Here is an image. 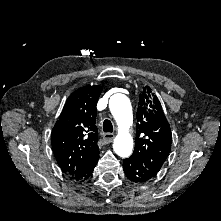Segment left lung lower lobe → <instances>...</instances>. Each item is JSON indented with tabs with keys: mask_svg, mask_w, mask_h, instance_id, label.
I'll return each instance as SVG.
<instances>
[{
	"mask_svg": "<svg viewBox=\"0 0 221 221\" xmlns=\"http://www.w3.org/2000/svg\"><path fill=\"white\" fill-rule=\"evenodd\" d=\"M123 169L127 178L135 183H145L156 176L155 172L146 168L131 157L123 161Z\"/></svg>",
	"mask_w": 221,
	"mask_h": 221,
	"instance_id": "1",
	"label": "left lung lower lobe"
}]
</instances>
